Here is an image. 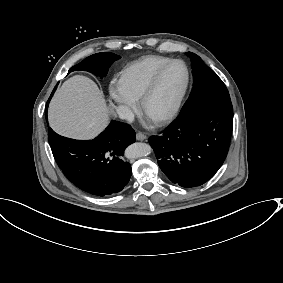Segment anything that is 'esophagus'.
Segmentation results:
<instances>
[{"mask_svg": "<svg viewBox=\"0 0 283 283\" xmlns=\"http://www.w3.org/2000/svg\"><path fill=\"white\" fill-rule=\"evenodd\" d=\"M136 138H137L138 141H143L147 138V136L145 134L139 132V133L136 134Z\"/></svg>", "mask_w": 283, "mask_h": 283, "instance_id": "obj_1", "label": "esophagus"}]
</instances>
